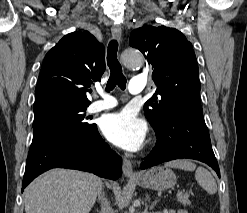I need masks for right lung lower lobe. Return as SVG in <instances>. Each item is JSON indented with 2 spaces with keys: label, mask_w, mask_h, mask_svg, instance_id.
<instances>
[{
  "label": "right lung lower lobe",
  "mask_w": 247,
  "mask_h": 213,
  "mask_svg": "<svg viewBox=\"0 0 247 213\" xmlns=\"http://www.w3.org/2000/svg\"><path fill=\"white\" fill-rule=\"evenodd\" d=\"M51 168L77 169L116 180L122 174V159L104 142L96 125L91 129L52 125L33 133L22 192Z\"/></svg>",
  "instance_id": "98d812e1"
}]
</instances>
